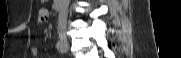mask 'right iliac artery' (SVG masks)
Here are the masks:
<instances>
[{"instance_id":"82829eb1","label":"right iliac artery","mask_w":181,"mask_h":58,"mask_svg":"<svg viewBox=\"0 0 181 58\" xmlns=\"http://www.w3.org/2000/svg\"><path fill=\"white\" fill-rule=\"evenodd\" d=\"M56 48L57 50L60 52V53H64L65 52V48H64V45L61 41H58L56 43Z\"/></svg>"}]
</instances>
